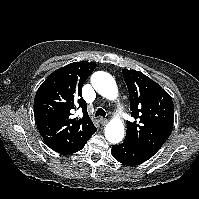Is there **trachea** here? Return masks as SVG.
Wrapping results in <instances>:
<instances>
[{"label": "trachea", "instance_id": "trachea-1", "mask_svg": "<svg viewBox=\"0 0 199 199\" xmlns=\"http://www.w3.org/2000/svg\"><path fill=\"white\" fill-rule=\"evenodd\" d=\"M105 115H106V112L102 108L97 109V111L95 113V116L105 117Z\"/></svg>", "mask_w": 199, "mask_h": 199}]
</instances>
